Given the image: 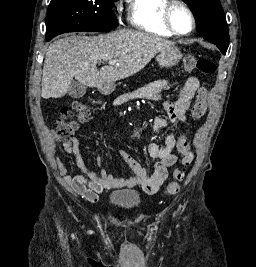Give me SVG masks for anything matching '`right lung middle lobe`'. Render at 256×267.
Here are the masks:
<instances>
[{"mask_svg":"<svg viewBox=\"0 0 256 267\" xmlns=\"http://www.w3.org/2000/svg\"><path fill=\"white\" fill-rule=\"evenodd\" d=\"M117 0H51L46 40L75 31H108L117 27L112 11Z\"/></svg>","mask_w":256,"mask_h":267,"instance_id":"right-lung-middle-lobe-1","label":"right lung middle lobe"}]
</instances>
